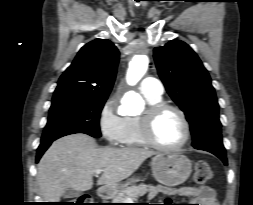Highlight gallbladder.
<instances>
[{"mask_svg": "<svg viewBox=\"0 0 253 205\" xmlns=\"http://www.w3.org/2000/svg\"><path fill=\"white\" fill-rule=\"evenodd\" d=\"M81 195V192L72 188H68L63 193V198H75L79 197Z\"/></svg>", "mask_w": 253, "mask_h": 205, "instance_id": "bac80fb5", "label": "gallbladder"}]
</instances>
